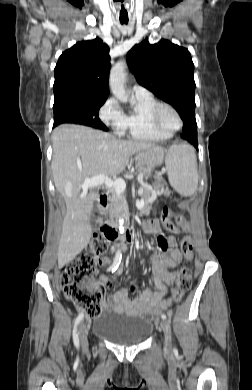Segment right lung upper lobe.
<instances>
[{
	"instance_id": "obj_1",
	"label": "right lung upper lobe",
	"mask_w": 252,
	"mask_h": 390,
	"mask_svg": "<svg viewBox=\"0 0 252 390\" xmlns=\"http://www.w3.org/2000/svg\"><path fill=\"white\" fill-rule=\"evenodd\" d=\"M110 67L109 47L101 39L76 43L62 53L54 69V102L106 101Z\"/></svg>"
}]
</instances>
